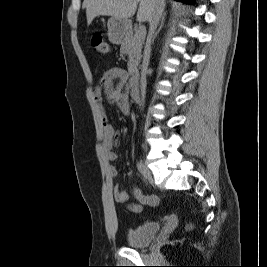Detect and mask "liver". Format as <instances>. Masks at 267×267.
I'll list each match as a JSON object with an SVG mask.
<instances>
[{
	"instance_id": "6515ba94",
	"label": "liver",
	"mask_w": 267,
	"mask_h": 267,
	"mask_svg": "<svg viewBox=\"0 0 267 267\" xmlns=\"http://www.w3.org/2000/svg\"><path fill=\"white\" fill-rule=\"evenodd\" d=\"M138 5L137 21L149 22L158 5L164 9L165 0H84L83 2L88 25L100 15L128 20L135 14Z\"/></svg>"
}]
</instances>
